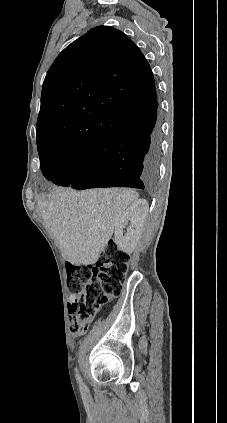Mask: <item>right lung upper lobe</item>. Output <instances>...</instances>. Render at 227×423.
Here are the masks:
<instances>
[{"instance_id":"right-lung-upper-lobe-1","label":"right lung upper lobe","mask_w":227,"mask_h":423,"mask_svg":"<svg viewBox=\"0 0 227 423\" xmlns=\"http://www.w3.org/2000/svg\"><path fill=\"white\" fill-rule=\"evenodd\" d=\"M154 90L152 70L137 45L113 27H95L66 47L50 67L42 88L37 141L89 149L129 126L106 115L107 108L145 100Z\"/></svg>"}]
</instances>
